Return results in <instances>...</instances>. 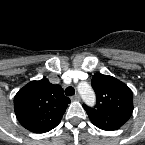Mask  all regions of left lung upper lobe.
Listing matches in <instances>:
<instances>
[{
	"label": "left lung upper lobe",
	"mask_w": 145,
	"mask_h": 145,
	"mask_svg": "<svg viewBox=\"0 0 145 145\" xmlns=\"http://www.w3.org/2000/svg\"><path fill=\"white\" fill-rule=\"evenodd\" d=\"M91 83L96 93L97 103L94 107L83 105L90 121L102 130L119 129L132 115V91L118 79L101 73H96Z\"/></svg>",
	"instance_id": "5c2ea615"
}]
</instances>
